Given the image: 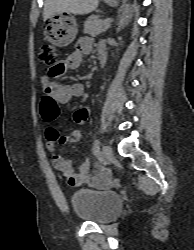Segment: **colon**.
<instances>
[{"label":"colon","mask_w":194,"mask_h":250,"mask_svg":"<svg viewBox=\"0 0 194 250\" xmlns=\"http://www.w3.org/2000/svg\"><path fill=\"white\" fill-rule=\"evenodd\" d=\"M40 61L50 66V73L55 75V66L58 64V57L54 47L50 44H44L39 52ZM59 109L56 99L46 92L41 97V114L45 121L54 120L58 115ZM75 136H78L77 134Z\"/></svg>","instance_id":"obj_1"}]
</instances>
